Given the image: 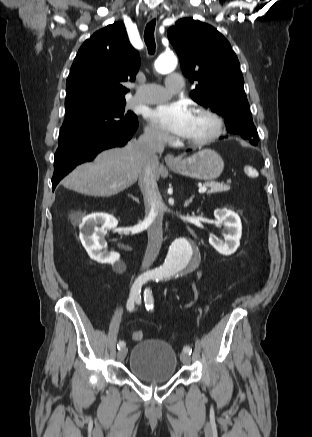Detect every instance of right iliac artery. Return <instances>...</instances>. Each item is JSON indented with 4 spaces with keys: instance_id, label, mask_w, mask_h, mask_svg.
<instances>
[{
    "instance_id": "right-iliac-artery-1",
    "label": "right iliac artery",
    "mask_w": 312,
    "mask_h": 437,
    "mask_svg": "<svg viewBox=\"0 0 312 437\" xmlns=\"http://www.w3.org/2000/svg\"><path fill=\"white\" fill-rule=\"evenodd\" d=\"M154 275L150 273H144L140 275L136 281L134 282L129 299L127 301V310L132 312L134 310L135 303L140 304L141 303V289L142 286L148 282L151 279H154ZM125 346L124 341H119L117 344V348L120 349Z\"/></svg>"
}]
</instances>
